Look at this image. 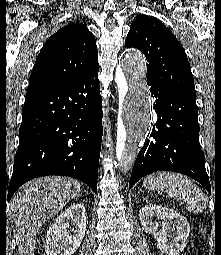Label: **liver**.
Wrapping results in <instances>:
<instances>
[{"instance_id": "obj_1", "label": "liver", "mask_w": 221, "mask_h": 255, "mask_svg": "<svg viewBox=\"0 0 221 255\" xmlns=\"http://www.w3.org/2000/svg\"><path fill=\"white\" fill-rule=\"evenodd\" d=\"M81 192L69 177L46 176L24 184L10 202V221L20 255H34L42 225Z\"/></svg>"}]
</instances>
